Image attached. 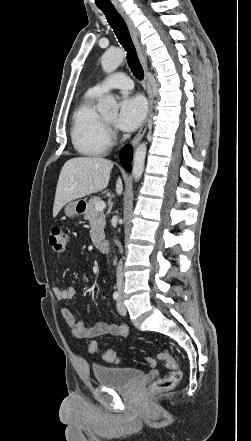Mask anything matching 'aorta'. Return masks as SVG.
Returning a JSON list of instances; mask_svg holds the SVG:
<instances>
[{"label":"aorta","instance_id":"762f6f07","mask_svg":"<svg viewBox=\"0 0 251 441\" xmlns=\"http://www.w3.org/2000/svg\"><path fill=\"white\" fill-rule=\"evenodd\" d=\"M124 59V52L121 49L106 51L101 57V65L106 73L115 71ZM98 111L103 115L115 116L118 113V105L113 96L108 95L97 106ZM147 147L145 143L138 145L135 149L132 174L135 181H139L144 171Z\"/></svg>","mask_w":251,"mask_h":441}]
</instances>
